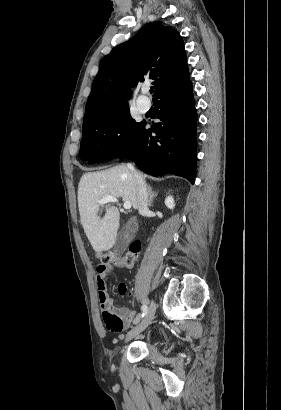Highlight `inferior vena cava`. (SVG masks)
Wrapping results in <instances>:
<instances>
[{"mask_svg": "<svg viewBox=\"0 0 281 410\" xmlns=\"http://www.w3.org/2000/svg\"><path fill=\"white\" fill-rule=\"evenodd\" d=\"M130 169L137 187V201L139 214L145 216L148 212V191L143 176L137 172L132 164L127 165Z\"/></svg>", "mask_w": 281, "mask_h": 410, "instance_id": "602c4592", "label": "inferior vena cava"}]
</instances>
